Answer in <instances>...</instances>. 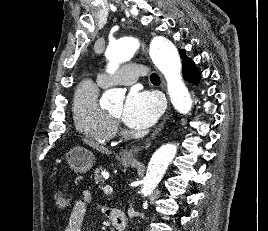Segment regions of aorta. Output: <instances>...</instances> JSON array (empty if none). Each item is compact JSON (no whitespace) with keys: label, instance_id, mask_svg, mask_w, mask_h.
Returning a JSON list of instances; mask_svg holds the SVG:
<instances>
[{"label":"aorta","instance_id":"obj_1","mask_svg":"<svg viewBox=\"0 0 268 231\" xmlns=\"http://www.w3.org/2000/svg\"><path fill=\"white\" fill-rule=\"evenodd\" d=\"M138 46L137 39L132 37L109 44L105 53L109 61L107 72L114 73L121 63L130 60ZM149 54L166 79L173 107L181 114H188L192 108V99L181 77L182 65L176 47L165 37L157 36L150 43ZM124 97L122 90L109 89L103 94V104L106 106L112 101H122ZM176 152L177 146L173 143L164 144L155 151L143 179L141 193L144 197L150 195L158 186Z\"/></svg>","mask_w":268,"mask_h":231}]
</instances>
